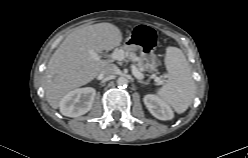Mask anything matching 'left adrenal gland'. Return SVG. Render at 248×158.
Wrapping results in <instances>:
<instances>
[{"mask_svg":"<svg viewBox=\"0 0 248 158\" xmlns=\"http://www.w3.org/2000/svg\"><path fill=\"white\" fill-rule=\"evenodd\" d=\"M139 83H142V84H147L146 82L142 81V80H138Z\"/></svg>","mask_w":248,"mask_h":158,"instance_id":"a2214340","label":"left adrenal gland"}]
</instances>
